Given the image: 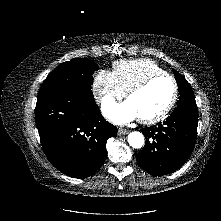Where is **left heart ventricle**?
Instances as JSON below:
<instances>
[{
	"mask_svg": "<svg viewBox=\"0 0 221 221\" xmlns=\"http://www.w3.org/2000/svg\"><path fill=\"white\" fill-rule=\"evenodd\" d=\"M172 94V82L168 78H159L144 90L133 94L128 101L138 117L148 118L161 112L170 101Z\"/></svg>",
	"mask_w": 221,
	"mask_h": 221,
	"instance_id": "b2bd125f",
	"label": "left heart ventricle"
}]
</instances>
